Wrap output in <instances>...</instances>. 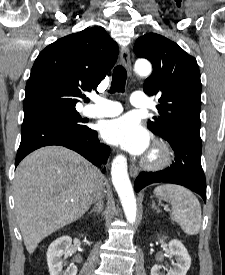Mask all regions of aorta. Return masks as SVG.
Wrapping results in <instances>:
<instances>
[{
  "label": "aorta",
  "instance_id": "1",
  "mask_svg": "<svg viewBox=\"0 0 225 275\" xmlns=\"http://www.w3.org/2000/svg\"><path fill=\"white\" fill-rule=\"evenodd\" d=\"M151 70V64L148 61H137L135 63V72L140 76H148ZM111 176L126 219L130 224H133L136 221L137 205L127 172V159L125 156L117 155L114 158L111 167Z\"/></svg>",
  "mask_w": 225,
  "mask_h": 275
}]
</instances>
